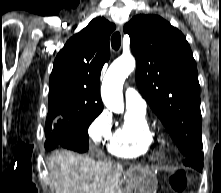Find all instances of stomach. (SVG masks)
<instances>
[{
	"mask_svg": "<svg viewBox=\"0 0 221 193\" xmlns=\"http://www.w3.org/2000/svg\"><path fill=\"white\" fill-rule=\"evenodd\" d=\"M154 167L150 164H130V185L125 188V193H149L152 191L159 174H152Z\"/></svg>",
	"mask_w": 221,
	"mask_h": 193,
	"instance_id": "stomach-1",
	"label": "stomach"
}]
</instances>
